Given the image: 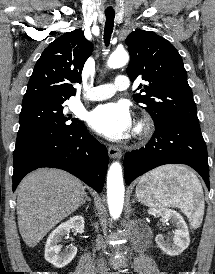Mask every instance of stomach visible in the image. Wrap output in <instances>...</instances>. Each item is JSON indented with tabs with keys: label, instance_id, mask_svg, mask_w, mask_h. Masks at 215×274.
Segmentation results:
<instances>
[{
	"label": "stomach",
	"instance_id": "obj_1",
	"mask_svg": "<svg viewBox=\"0 0 215 274\" xmlns=\"http://www.w3.org/2000/svg\"><path fill=\"white\" fill-rule=\"evenodd\" d=\"M136 195H137V194H136ZM137 197H138L139 201H141L142 203L146 204V203L144 202V198H141V197L138 196V195H137ZM146 205H149V204H146Z\"/></svg>",
	"mask_w": 215,
	"mask_h": 274
}]
</instances>
